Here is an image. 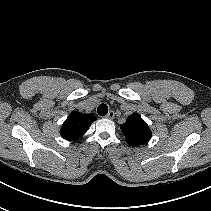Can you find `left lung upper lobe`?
<instances>
[{"instance_id":"left-lung-upper-lobe-1","label":"left lung upper lobe","mask_w":211,"mask_h":211,"mask_svg":"<svg viewBox=\"0 0 211 211\" xmlns=\"http://www.w3.org/2000/svg\"><path fill=\"white\" fill-rule=\"evenodd\" d=\"M120 129L131 146L146 144L151 138V130L147 123L137 113L128 117L127 121L121 124Z\"/></svg>"}]
</instances>
